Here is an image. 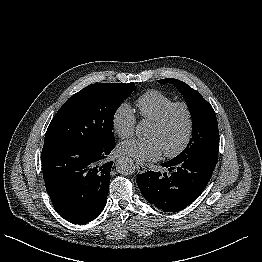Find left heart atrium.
Instances as JSON below:
<instances>
[{"mask_svg":"<svg viewBox=\"0 0 262 262\" xmlns=\"http://www.w3.org/2000/svg\"><path fill=\"white\" fill-rule=\"evenodd\" d=\"M118 151L137 161H155L164 153L159 141L150 139H130L119 144Z\"/></svg>","mask_w":262,"mask_h":262,"instance_id":"39dd6f15","label":"left heart atrium"}]
</instances>
